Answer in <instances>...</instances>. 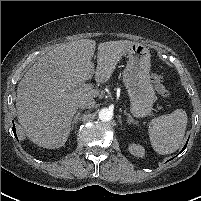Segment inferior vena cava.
Returning <instances> with one entry per match:
<instances>
[{
  "label": "inferior vena cava",
  "mask_w": 201,
  "mask_h": 201,
  "mask_svg": "<svg viewBox=\"0 0 201 201\" xmlns=\"http://www.w3.org/2000/svg\"><path fill=\"white\" fill-rule=\"evenodd\" d=\"M94 106H95V100L89 97L82 98L78 103V107L81 109L92 108Z\"/></svg>",
  "instance_id": "1"
}]
</instances>
